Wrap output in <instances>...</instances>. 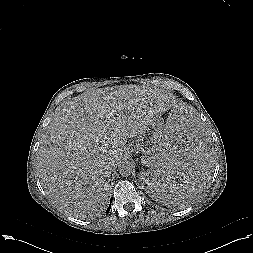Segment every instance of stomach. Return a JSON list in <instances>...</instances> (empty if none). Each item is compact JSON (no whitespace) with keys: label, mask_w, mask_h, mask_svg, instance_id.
<instances>
[{"label":"stomach","mask_w":253,"mask_h":253,"mask_svg":"<svg viewBox=\"0 0 253 253\" xmlns=\"http://www.w3.org/2000/svg\"><path fill=\"white\" fill-rule=\"evenodd\" d=\"M164 132H168V124H164L161 118L154 120L147 126L141 135L137 136L135 140L131 142V149L142 154L143 160L145 161L152 151L154 141Z\"/></svg>","instance_id":"stomach-1"}]
</instances>
